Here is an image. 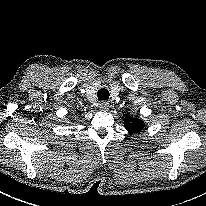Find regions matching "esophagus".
<instances>
[{
  "instance_id": "1",
  "label": "esophagus",
  "mask_w": 206,
  "mask_h": 206,
  "mask_svg": "<svg viewBox=\"0 0 206 206\" xmlns=\"http://www.w3.org/2000/svg\"><path fill=\"white\" fill-rule=\"evenodd\" d=\"M109 103L107 102V101H102V102H100V104H99V108H100V110H102V111H108L109 110Z\"/></svg>"
}]
</instances>
